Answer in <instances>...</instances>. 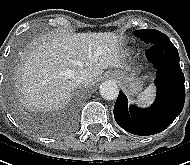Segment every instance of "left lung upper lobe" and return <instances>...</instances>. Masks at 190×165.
Segmentation results:
<instances>
[{
    "label": "left lung upper lobe",
    "mask_w": 190,
    "mask_h": 165,
    "mask_svg": "<svg viewBox=\"0 0 190 165\" xmlns=\"http://www.w3.org/2000/svg\"><path fill=\"white\" fill-rule=\"evenodd\" d=\"M133 34L145 41V43L149 44L150 46L164 39H168V36H166L164 33L154 29L137 30L134 31Z\"/></svg>",
    "instance_id": "5c2ea615"
}]
</instances>
